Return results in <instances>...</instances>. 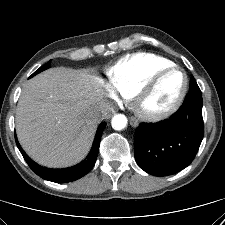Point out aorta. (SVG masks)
<instances>
[{"instance_id":"aorta-1","label":"aorta","mask_w":225,"mask_h":225,"mask_svg":"<svg viewBox=\"0 0 225 225\" xmlns=\"http://www.w3.org/2000/svg\"><path fill=\"white\" fill-rule=\"evenodd\" d=\"M127 118L123 114H116L111 120V125L114 130L120 131L127 126Z\"/></svg>"}]
</instances>
